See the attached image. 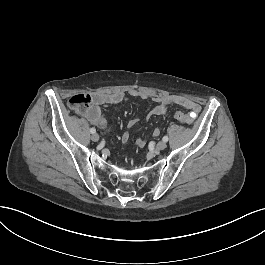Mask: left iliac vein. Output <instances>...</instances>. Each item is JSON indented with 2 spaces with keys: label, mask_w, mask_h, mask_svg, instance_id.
I'll use <instances>...</instances> for the list:
<instances>
[{
  "label": "left iliac vein",
  "mask_w": 265,
  "mask_h": 265,
  "mask_svg": "<svg viewBox=\"0 0 265 265\" xmlns=\"http://www.w3.org/2000/svg\"><path fill=\"white\" fill-rule=\"evenodd\" d=\"M166 146H167V144H166L165 141H160V142L157 144L156 148H157L158 150H163V149L166 148Z\"/></svg>",
  "instance_id": "obj_1"
}]
</instances>
